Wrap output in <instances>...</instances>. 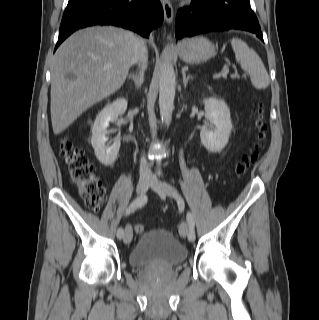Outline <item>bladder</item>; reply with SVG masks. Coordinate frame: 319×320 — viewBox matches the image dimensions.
<instances>
[{
  "label": "bladder",
  "instance_id": "bladder-1",
  "mask_svg": "<svg viewBox=\"0 0 319 320\" xmlns=\"http://www.w3.org/2000/svg\"><path fill=\"white\" fill-rule=\"evenodd\" d=\"M187 255L186 247L171 232L165 229H151L138 238L128 260L135 267H144L153 263L172 266L185 261Z\"/></svg>",
  "mask_w": 319,
  "mask_h": 320
}]
</instances>
